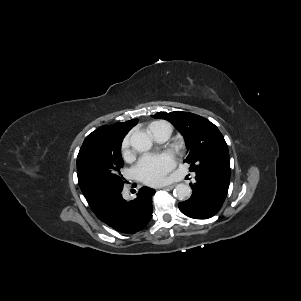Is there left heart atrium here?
I'll return each instance as SVG.
<instances>
[{"label": "left heart atrium", "mask_w": 301, "mask_h": 301, "mask_svg": "<svg viewBox=\"0 0 301 301\" xmlns=\"http://www.w3.org/2000/svg\"><path fill=\"white\" fill-rule=\"evenodd\" d=\"M176 158L166 152L158 155L148 154L140 158L134 168L135 176L148 185H160L167 180L168 174L176 166Z\"/></svg>", "instance_id": "39dd6f15"}]
</instances>
